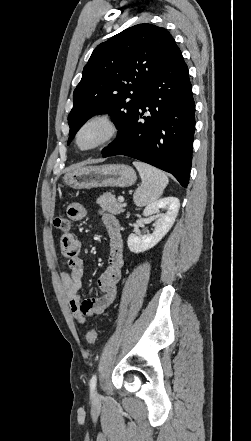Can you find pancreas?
Segmentation results:
<instances>
[{"label": "pancreas", "mask_w": 251, "mask_h": 441, "mask_svg": "<svg viewBox=\"0 0 251 441\" xmlns=\"http://www.w3.org/2000/svg\"><path fill=\"white\" fill-rule=\"evenodd\" d=\"M96 202L104 211L115 215L121 214L125 211L123 205L115 198V195H113L111 192L104 193L97 199Z\"/></svg>", "instance_id": "pancreas-1"}]
</instances>
